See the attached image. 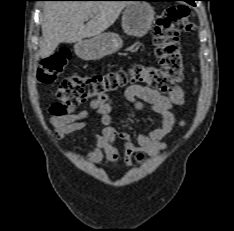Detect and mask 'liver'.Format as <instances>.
<instances>
[{"mask_svg":"<svg viewBox=\"0 0 234 231\" xmlns=\"http://www.w3.org/2000/svg\"><path fill=\"white\" fill-rule=\"evenodd\" d=\"M127 1H48L42 20L41 58L51 56L57 46L94 37L117 20ZM91 17L85 25L84 22Z\"/></svg>","mask_w":234,"mask_h":231,"instance_id":"liver-1","label":"liver"}]
</instances>
